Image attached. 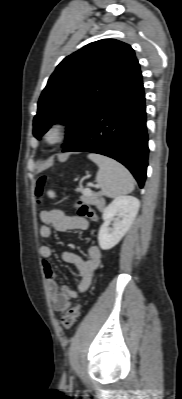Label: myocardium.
<instances>
[{"instance_id": "f54148a6", "label": "myocardium", "mask_w": 182, "mask_h": 399, "mask_svg": "<svg viewBox=\"0 0 182 399\" xmlns=\"http://www.w3.org/2000/svg\"><path fill=\"white\" fill-rule=\"evenodd\" d=\"M69 130L67 121L59 119L55 120L47 127L44 133V140L49 145H56L61 143L66 137ZM51 136H54L51 138Z\"/></svg>"}]
</instances>
